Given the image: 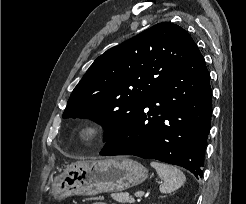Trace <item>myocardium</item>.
Here are the masks:
<instances>
[{
    "label": "myocardium",
    "instance_id": "f54148a6",
    "mask_svg": "<svg viewBox=\"0 0 246 204\" xmlns=\"http://www.w3.org/2000/svg\"><path fill=\"white\" fill-rule=\"evenodd\" d=\"M107 128L100 121H87L77 130V139L84 146H92L105 137Z\"/></svg>",
    "mask_w": 246,
    "mask_h": 204
}]
</instances>
